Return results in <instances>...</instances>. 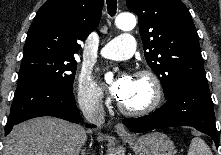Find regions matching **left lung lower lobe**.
I'll use <instances>...</instances> for the list:
<instances>
[{
	"instance_id": "obj_1",
	"label": "left lung lower lobe",
	"mask_w": 221,
	"mask_h": 155,
	"mask_svg": "<svg viewBox=\"0 0 221 155\" xmlns=\"http://www.w3.org/2000/svg\"><path fill=\"white\" fill-rule=\"evenodd\" d=\"M166 100L155 112L144 117L123 119V123L137 133L192 126L211 136L218 147L214 110L206 78L185 81Z\"/></svg>"
}]
</instances>
